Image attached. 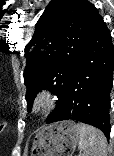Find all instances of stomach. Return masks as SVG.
I'll return each mask as SVG.
<instances>
[{
	"instance_id": "stomach-1",
	"label": "stomach",
	"mask_w": 114,
	"mask_h": 156,
	"mask_svg": "<svg viewBox=\"0 0 114 156\" xmlns=\"http://www.w3.org/2000/svg\"><path fill=\"white\" fill-rule=\"evenodd\" d=\"M77 124L62 121L41 129L35 136L31 156H72L79 142Z\"/></svg>"
}]
</instances>
